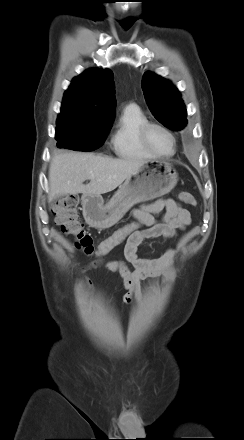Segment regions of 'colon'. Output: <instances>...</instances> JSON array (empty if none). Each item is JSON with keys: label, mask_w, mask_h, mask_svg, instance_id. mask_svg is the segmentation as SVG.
<instances>
[{"label": "colon", "mask_w": 244, "mask_h": 440, "mask_svg": "<svg viewBox=\"0 0 244 440\" xmlns=\"http://www.w3.org/2000/svg\"><path fill=\"white\" fill-rule=\"evenodd\" d=\"M178 197L186 204H196L194 196L188 192H181ZM77 204L76 197H68L56 203L54 208L56 221L63 232L74 236L75 245L78 249L88 255H95L98 261L132 234L145 227L144 221L136 219L119 228L111 236L101 241L97 247H94L92 237L86 232L84 223L77 213ZM118 263V261H109L106 263V267L112 269L117 267Z\"/></svg>", "instance_id": "5ec220e1"}]
</instances>
